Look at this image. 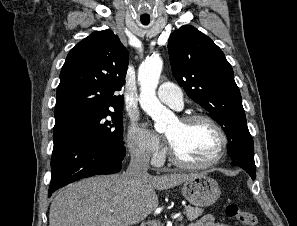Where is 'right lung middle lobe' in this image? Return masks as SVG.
<instances>
[{
    "instance_id": "obj_1",
    "label": "right lung middle lobe",
    "mask_w": 297,
    "mask_h": 226,
    "mask_svg": "<svg viewBox=\"0 0 297 226\" xmlns=\"http://www.w3.org/2000/svg\"><path fill=\"white\" fill-rule=\"evenodd\" d=\"M122 110L83 111L56 120L54 133L74 131L123 145Z\"/></svg>"
}]
</instances>
